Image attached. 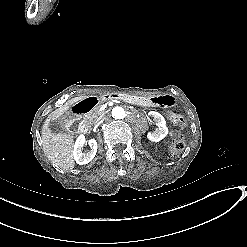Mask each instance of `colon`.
<instances>
[{
    "mask_svg": "<svg viewBox=\"0 0 247 247\" xmlns=\"http://www.w3.org/2000/svg\"><path fill=\"white\" fill-rule=\"evenodd\" d=\"M169 119L171 121H176L177 124H179L181 127L184 126L185 121H186V117L184 114L179 113H171L169 115ZM185 149V141L184 138L180 135V134H176L173 138L171 147H170V156L173 158L178 157Z\"/></svg>",
    "mask_w": 247,
    "mask_h": 247,
    "instance_id": "obj_1",
    "label": "colon"
}]
</instances>
